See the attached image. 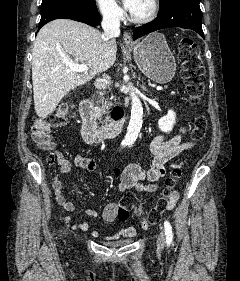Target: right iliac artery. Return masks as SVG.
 Returning a JSON list of instances; mask_svg holds the SVG:
<instances>
[{
    "instance_id": "right-iliac-artery-1",
    "label": "right iliac artery",
    "mask_w": 240,
    "mask_h": 281,
    "mask_svg": "<svg viewBox=\"0 0 240 281\" xmlns=\"http://www.w3.org/2000/svg\"><path fill=\"white\" fill-rule=\"evenodd\" d=\"M124 145H125V143L123 142V143H122V146H124Z\"/></svg>"
}]
</instances>
